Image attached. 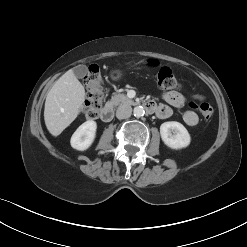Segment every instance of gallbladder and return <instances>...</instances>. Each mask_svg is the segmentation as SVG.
Instances as JSON below:
<instances>
[{
	"label": "gallbladder",
	"instance_id": "1",
	"mask_svg": "<svg viewBox=\"0 0 247 247\" xmlns=\"http://www.w3.org/2000/svg\"><path fill=\"white\" fill-rule=\"evenodd\" d=\"M74 75L78 78H82L87 73V67L85 65H78L73 69Z\"/></svg>",
	"mask_w": 247,
	"mask_h": 247
}]
</instances>
